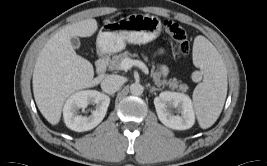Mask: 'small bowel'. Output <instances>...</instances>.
Masks as SVG:
<instances>
[{"label":"small bowel","instance_id":"c3829d8e","mask_svg":"<svg viewBox=\"0 0 267 166\" xmlns=\"http://www.w3.org/2000/svg\"><path fill=\"white\" fill-rule=\"evenodd\" d=\"M160 72H161L162 74H165V73H166V68H165V67H161Z\"/></svg>","mask_w":267,"mask_h":166}]
</instances>
